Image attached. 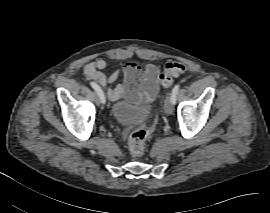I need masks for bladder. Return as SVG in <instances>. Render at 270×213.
I'll use <instances>...</instances> for the list:
<instances>
[{
	"instance_id": "bladder-1",
	"label": "bladder",
	"mask_w": 270,
	"mask_h": 213,
	"mask_svg": "<svg viewBox=\"0 0 270 213\" xmlns=\"http://www.w3.org/2000/svg\"><path fill=\"white\" fill-rule=\"evenodd\" d=\"M108 113L118 126L139 128L148 118V107L133 106L127 98H122L110 106Z\"/></svg>"
}]
</instances>
